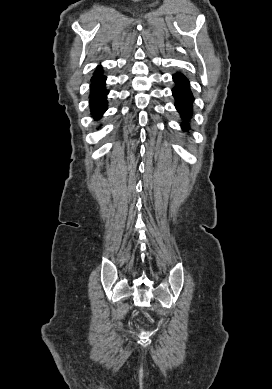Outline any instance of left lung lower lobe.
Here are the masks:
<instances>
[{
  "instance_id": "left-lung-lower-lobe-1",
  "label": "left lung lower lobe",
  "mask_w": 272,
  "mask_h": 389,
  "mask_svg": "<svg viewBox=\"0 0 272 389\" xmlns=\"http://www.w3.org/2000/svg\"><path fill=\"white\" fill-rule=\"evenodd\" d=\"M175 87L172 89L173 96L176 100L175 106L180 113L183 120H189L192 116V103L194 97L189 87L188 79L181 73L173 75ZM182 129L184 131L189 130V125L186 122H182Z\"/></svg>"
}]
</instances>
